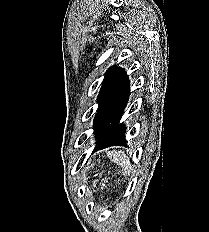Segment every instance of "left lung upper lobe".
<instances>
[{
  "instance_id": "5c2ea615",
  "label": "left lung upper lobe",
  "mask_w": 209,
  "mask_h": 232,
  "mask_svg": "<svg viewBox=\"0 0 209 232\" xmlns=\"http://www.w3.org/2000/svg\"><path fill=\"white\" fill-rule=\"evenodd\" d=\"M127 74L124 69L112 66L105 73L103 85L98 95V103L111 97L124 83Z\"/></svg>"
}]
</instances>
